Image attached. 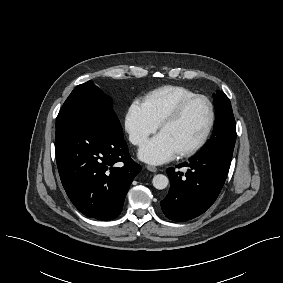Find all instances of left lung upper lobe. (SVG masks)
<instances>
[{"label":"left lung upper lobe","mask_w":283,"mask_h":283,"mask_svg":"<svg viewBox=\"0 0 283 283\" xmlns=\"http://www.w3.org/2000/svg\"><path fill=\"white\" fill-rule=\"evenodd\" d=\"M213 97L216 111L213 135L200 152L216 151L232 157L236 140V124L231 103L222 91H217Z\"/></svg>","instance_id":"obj_1"}]
</instances>
